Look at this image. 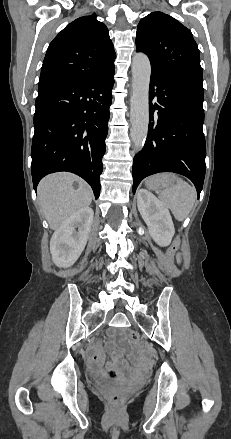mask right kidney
I'll return each mask as SVG.
<instances>
[{
    "label": "right kidney",
    "instance_id": "right-kidney-1",
    "mask_svg": "<svg viewBox=\"0 0 231 439\" xmlns=\"http://www.w3.org/2000/svg\"><path fill=\"white\" fill-rule=\"evenodd\" d=\"M93 215L91 208H83L65 220L54 232L50 240V251L56 266L69 267L79 258L88 240Z\"/></svg>",
    "mask_w": 231,
    "mask_h": 439
}]
</instances>
